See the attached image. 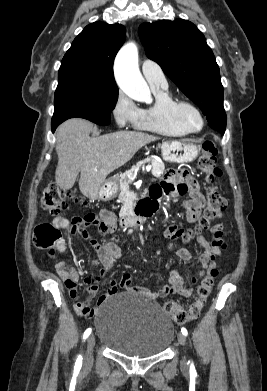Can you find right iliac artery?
<instances>
[{"label":"right iliac artery","mask_w":267,"mask_h":391,"mask_svg":"<svg viewBox=\"0 0 267 391\" xmlns=\"http://www.w3.org/2000/svg\"><path fill=\"white\" fill-rule=\"evenodd\" d=\"M90 333H91V328L87 329L84 332L83 338L86 339L90 335ZM81 365H82V357L78 356V359H77L76 364H75V370L79 371L80 368H81Z\"/></svg>","instance_id":"82829eb1"}]
</instances>
